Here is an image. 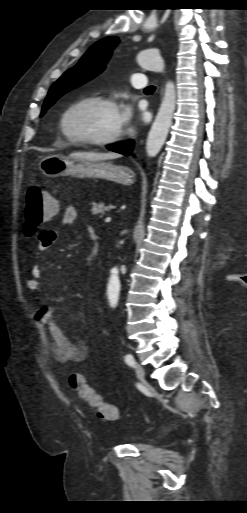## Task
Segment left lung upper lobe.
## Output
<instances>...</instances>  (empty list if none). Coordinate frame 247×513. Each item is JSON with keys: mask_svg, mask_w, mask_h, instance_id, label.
<instances>
[{"mask_svg": "<svg viewBox=\"0 0 247 513\" xmlns=\"http://www.w3.org/2000/svg\"><path fill=\"white\" fill-rule=\"evenodd\" d=\"M118 43V37L111 36L103 38L92 45L80 61L51 86L48 96L44 101L41 116L62 95L101 73Z\"/></svg>", "mask_w": 247, "mask_h": 513, "instance_id": "5c2ea615", "label": "left lung upper lobe"}]
</instances>
